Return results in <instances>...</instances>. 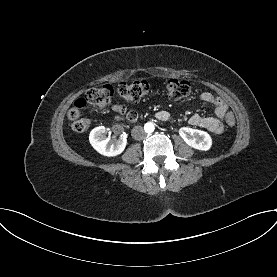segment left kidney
Returning <instances> with one entry per match:
<instances>
[{
	"label": "left kidney",
	"instance_id": "left-kidney-1",
	"mask_svg": "<svg viewBox=\"0 0 277 277\" xmlns=\"http://www.w3.org/2000/svg\"><path fill=\"white\" fill-rule=\"evenodd\" d=\"M179 135L187 145L194 149L207 151L211 148L212 139L205 131L182 127L179 129Z\"/></svg>",
	"mask_w": 277,
	"mask_h": 277
}]
</instances>
